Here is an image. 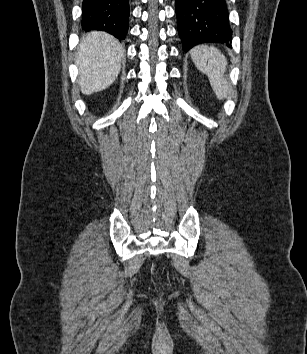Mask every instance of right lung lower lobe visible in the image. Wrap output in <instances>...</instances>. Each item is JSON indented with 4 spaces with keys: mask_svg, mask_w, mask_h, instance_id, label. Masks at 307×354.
Instances as JSON below:
<instances>
[{
    "mask_svg": "<svg viewBox=\"0 0 307 354\" xmlns=\"http://www.w3.org/2000/svg\"><path fill=\"white\" fill-rule=\"evenodd\" d=\"M129 0H84L82 27L102 30L123 40L128 31Z\"/></svg>",
    "mask_w": 307,
    "mask_h": 354,
    "instance_id": "right-lung-lower-lobe-1",
    "label": "right lung lower lobe"
}]
</instances>
